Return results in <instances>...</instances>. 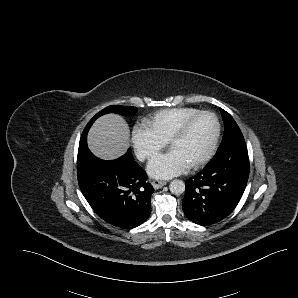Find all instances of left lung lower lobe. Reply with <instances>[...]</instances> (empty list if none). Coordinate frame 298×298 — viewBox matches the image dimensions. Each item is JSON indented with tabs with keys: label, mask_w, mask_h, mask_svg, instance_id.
Segmentation results:
<instances>
[{
	"label": "left lung lower lobe",
	"mask_w": 298,
	"mask_h": 298,
	"mask_svg": "<svg viewBox=\"0 0 298 298\" xmlns=\"http://www.w3.org/2000/svg\"><path fill=\"white\" fill-rule=\"evenodd\" d=\"M248 176L249 158L245 142L216 154L202 171L185 181L184 214L203 226L219 222L237 206Z\"/></svg>",
	"instance_id": "obj_1"
}]
</instances>
